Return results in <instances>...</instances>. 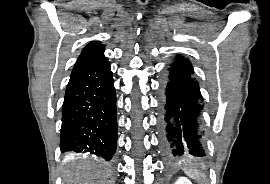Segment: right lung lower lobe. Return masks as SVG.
<instances>
[{"instance_id":"98d812e1","label":"right lung lower lobe","mask_w":270,"mask_h":184,"mask_svg":"<svg viewBox=\"0 0 270 184\" xmlns=\"http://www.w3.org/2000/svg\"><path fill=\"white\" fill-rule=\"evenodd\" d=\"M116 94L108 59L74 68L62 106L61 152L109 161L116 150Z\"/></svg>"}]
</instances>
